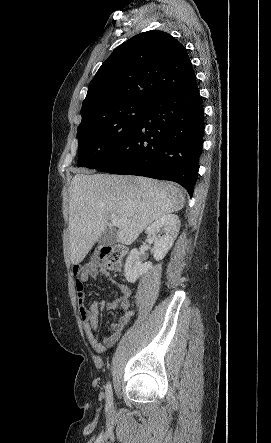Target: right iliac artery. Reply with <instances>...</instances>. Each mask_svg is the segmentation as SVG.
Here are the masks:
<instances>
[{"mask_svg": "<svg viewBox=\"0 0 271 443\" xmlns=\"http://www.w3.org/2000/svg\"><path fill=\"white\" fill-rule=\"evenodd\" d=\"M106 393V401L109 406L113 404V393H112V387L110 383H107L105 388Z\"/></svg>", "mask_w": 271, "mask_h": 443, "instance_id": "obj_1", "label": "right iliac artery"}]
</instances>
